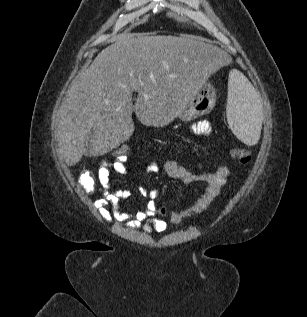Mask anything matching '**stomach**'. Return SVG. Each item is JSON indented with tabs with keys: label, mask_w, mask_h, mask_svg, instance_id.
<instances>
[{
	"label": "stomach",
	"mask_w": 307,
	"mask_h": 317,
	"mask_svg": "<svg viewBox=\"0 0 307 317\" xmlns=\"http://www.w3.org/2000/svg\"><path fill=\"white\" fill-rule=\"evenodd\" d=\"M216 93L211 86L204 85L194 90L187 101L183 112L179 115L182 120L204 115L211 111L215 104Z\"/></svg>",
	"instance_id": "0dacf381"
}]
</instances>
